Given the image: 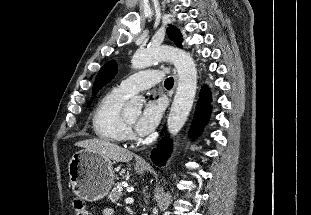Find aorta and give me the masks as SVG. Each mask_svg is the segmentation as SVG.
I'll use <instances>...</instances> for the list:
<instances>
[{
  "label": "aorta",
  "mask_w": 311,
  "mask_h": 215,
  "mask_svg": "<svg viewBox=\"0 0 311 215\" xmlns=\"http://www.w3.org/2000/svg\"><path fill=\"white\" fill-rule=\"evenodd\" d=\"M171 61L178 74L176 94L167 120L170 135L175 136L184 126L192 109L197 89V70L193 58L186 51L170 46H150L137 50L131 60L132 68L144 69L155 62ZM141 97H134L126 104L127 111H140Z\"/></svg>",
  "instance_id": "762f6f07"
}]
</instances>
